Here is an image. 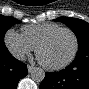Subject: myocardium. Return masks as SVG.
<instances>
[{
  "mask_svg": "<svg viewBox=\"0 0 89 89\" xmlns=\"http://www.w3.org/2000/svg\"><path fill=\"white\" fill-rule=\"evenodd\" d=\"M61 31L69 32L71 34V36L73 37V40H74L73 51H72L71 55L62 63L55 64V65L48 64V63L44 62L41 58V49L55 34H57L58 32H61ZM78 49H79V41H78V37H77L76 33L71 28L59 27V28L47 33L39 41L38 45L36 46V56H37V59L40 62V64L42 66H44L45 68H48L51 70H60V69L67 67L68 65H70L73 62V60L75 59V57L77 55Z\"/></svg>",
  "mask_w": 89,
  "mask_h": 89,
  "instance_id": "1",
  "label": "myocardium"
}]
</instances>
